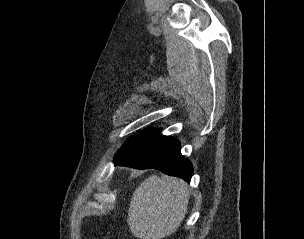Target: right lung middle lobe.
<instances>
[{
  "label": "right lung middle lobe",
  "mask_w": 304,
  "mask_h": 239,
  "mask_svg": "<svg viewBox=\"0 0 304 239\" xmlns=\"http://www.w3.org/2000/svg\"><path fill=\"white\" fill-rule=\"evenodd\" d=\"M155 130H157V129H155V128H149V129H146V130H144L143 132H141V133L135 135L134 137H131L130 139H128V140L124 143V145H123L122 148H124V147H126L127 145L131 144L132 142H134V141H136V140H138V139H140V138H142V137H144V136H146V135L152 133V132L155 131ZM122 148H121V149H122Z\"/></svg>",
  "instance_id": "obj_1"
}]
</instances>
